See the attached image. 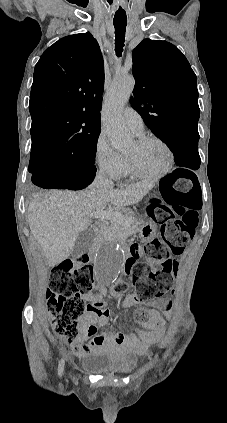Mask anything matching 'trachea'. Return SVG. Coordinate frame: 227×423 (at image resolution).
<instances>
[{"label":"trachea","mask_w":227,"mask_h":423,"mask_svg":"<svg viewBox=\"0 0 227 423\" xmlns=\"http://www.w3.org/2000/svg\"><path fill=\"white\" fill-rule=\"evenodd\" d=\"M113 25L115 28V52L117 57H121L125 42L127 19L114 18Z\"/></svg>","instance_id":"3493384b"}]
</instances>
